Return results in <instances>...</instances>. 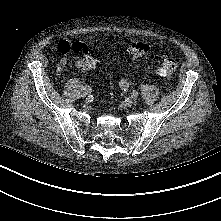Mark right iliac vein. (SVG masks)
<instances>
[{"label":"right iliac vein","mask_w":221,"mask_h":221,"mask_svg":"<svg viewBox=\"0 0 221 221\" xmlns=\"http://www.w3.org/2000/svg\"><path fill=\"white\" fill-rule=\"evenodd\" d=\"M89 94H90V92H89L87 89H84V88H83L82 96H83V97H87Z\"/></svg>","instance_id":"obj_1"}]
</instances>
